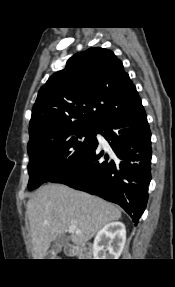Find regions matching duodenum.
<instances>
[{"mask_svg": "<svg viewBox=\"0 0 175 287\" xmlns=\"http://www.w3.org/2000/svg\"><path fill=\"white\" fill-rule=\"evenodd\" d=\"M79 251V249L78 248H74V252H78Z\"/></svg>", "mask_w": 175, "mask_h": 287, "instance_id": "410a0bca", "label": "duodenum"}]
</instances>
